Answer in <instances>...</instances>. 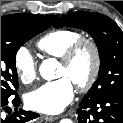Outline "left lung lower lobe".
Segmentation results:
<instances>
[{"label": "left lung lower lobe", "instance_id": "0a47b994", "mask_svg": "<svg viewBox=\"0 0 123 123\" xmlns=\"http://www.w3.org/2000/svg\"><path fill=\"white\" fill-rule=\"evenodd\" d=\"M79 106V123H123V93L83 98Z\"/></svg>", "mask_w": 123, "mask_h": 123}]
</instances>
